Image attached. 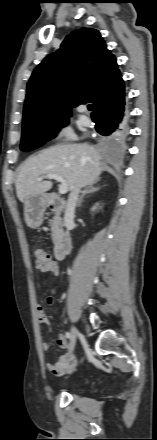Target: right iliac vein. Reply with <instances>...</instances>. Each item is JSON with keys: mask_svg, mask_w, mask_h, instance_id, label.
Here are the masks:
<instances>
[{"mask_svg": "<svg viewBox=\"0 0 157 440\" xmlns=\"http://www.w3.org/2000/svg\"><path fill=\"white\" fill-rule=\"evenodd\" d=\"M78 335H79V331L77 330L76 327L72 326L71 327L70 348H69L70 352H73L76 347V341H77Z\"/></svg>", "mask_w": 157, "mask_h": 440, "instance_id": "right-iliac-vein-1", "label": "right iliac vein"}]
</instances>
